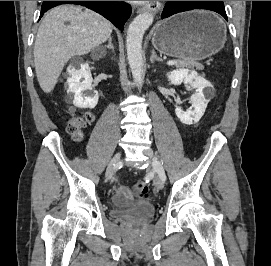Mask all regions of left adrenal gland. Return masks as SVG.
<instances>
[{
	"mask_svg": "<svg viewBox=\"0 0 271 266\" xmlns=\"http://www.w3.org/2000/svg\"><path fill=\"white\" fill-rule=\"evenodd\" d=\"M151 57H150V61L151 63L153 64L155 61H158V62H163V60L161 58H159L157 55H156V52L154 49H152L151 51Z\"/></svg>",
	"mask_w": 271,
	"mask_h": 266,
	"instance_id": "a2214340",
	"label": "left adrenal gland"
}]
</instances>
